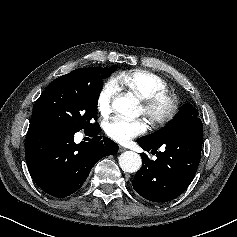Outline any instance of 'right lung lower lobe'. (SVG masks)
I'll use <instances>...</instances> for the list:
<instances>
[{
  "label": "right lung lower lobe",
  "mask_w": 237,
  "mask_h": 237,
  "mask_svg": "<svg viewBox=\"0 0 237 237\" xmlns=\"http://www.w3.org/2000/svg\"><path fill=\"white\" fill-rule=\"evenodd\" d=\"M100 132L99 126L85 130L93 138L90 142L76 144V131L31 124L25 143V157L35 183L46 193L59 198L76 192L101 158L118 151V145L107 137L99 136Z\"/></svg>",
  "instance_id": "98d812e1"
}]
</instances>
